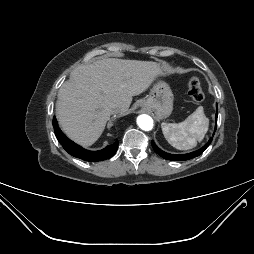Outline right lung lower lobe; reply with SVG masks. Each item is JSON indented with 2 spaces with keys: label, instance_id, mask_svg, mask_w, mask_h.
Here are the masks:
<instances>
[{
  "label": "right lung lower lobe",
  "instance_id": "right-lung-lower-lobe-1",
  "mask_svg": "<svg viewBox=\"0 0 254 254\" xmlns=\"http://www.w3.org/2000/svg\"><path fill=\"white\" fill-rule=\"evenodd\" d=\"M53 127L55 135L59 141V143L63 146V148L72 156L80 158L85 161H101L106 160L112 157L118 148V140L112 145L107 146L106 148L99 151H89L81 146L75 144L69 138H67L63 132L60 130L57 124V120L55 117L53 118Z\"/></svg>",
  "mask_w": 254,
  "mask_h": 254
}]
</instances>
